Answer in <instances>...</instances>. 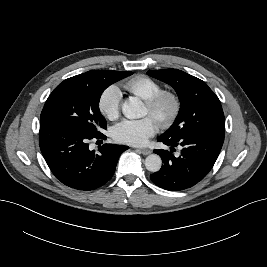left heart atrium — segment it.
I'll return each instance as SVG.
<instances>
[{
  "mask_svg": "<svg viewBox=\"0 0 267 267\" xmlns=\"http://www.w3.org/2000/svg\"><path fill=\"white\" fill-rule=\"evenodd\" d=\"M157 127V122L151 116L126 119L116 124L111 134L117 142L142 146L156 133Z\"/></svg>",
  "mask_w": 267,
  "mask_h": 267,
  "instance_id": "39dd6f15",
  "label": "left heart atrium"
}]
</instances>
